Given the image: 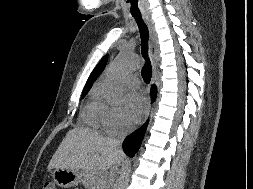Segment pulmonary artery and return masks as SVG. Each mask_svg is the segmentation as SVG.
I'll list each match as a JSON object with an SVG mask.
<instances>
[{
    "instance_id": "pulmonary-artery-1",
    "label": "pulmonary artery",
    "mask_w": 253,
    "mask_h": 189,
    "mask_svg": "<svg viewBox=\"0 0 253 189\" xmlns=\"http://www.w3.org/2000/svg\"><path fill=\"white\" fill-rule=\"evenodd\" d=\"M128 82L131 86L137 87L139 85V80L136 76H130Z\"/></svg>"
}]
</instances>
